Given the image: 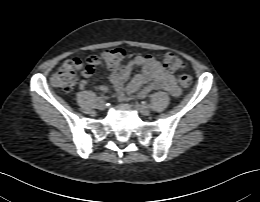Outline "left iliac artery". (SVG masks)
<instances>
[{
    "mask_svg": "<svg viewBox=\"0 0 260 202\" xmlns=\"http://www.w3.org/2000/svg\"><path fill=\"white\" fill-rule=\"evenodd\" d=\"M142 104H143V105H147V101H143Z\"/></svg>",
    "mask_w": 260,
    "mask_h": 202,
    "instance_id": "1",
    "label": "left iliac artery"
}]
</instances>
